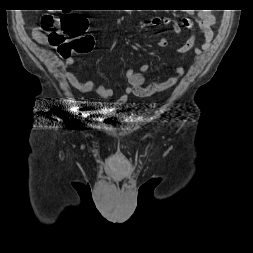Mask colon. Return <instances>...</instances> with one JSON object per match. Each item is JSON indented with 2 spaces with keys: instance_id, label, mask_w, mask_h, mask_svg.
<instances>
[{
  "instance_id": "5ec220e1",
  "label": "colon",
  "mask_w": 253,
  "mask_h": 253,
  "mask_svg": "<svg viewBox=\"0 0 253 253\" xmlns=\"http://www.w3.org/2000/svg\"><path fill=\"white\" fill-rule=\"evenodd\" d=\"M41 28L47 34L48 42L62 57L87 53L94 47L93 36L87 32L88 19L84 15L67 14L60 19L46 15Z\"/></svg>"
}]
</instances>
